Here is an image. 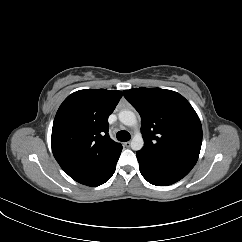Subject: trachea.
<instances>
[{
  "label": "trachea",
  "instance_id": "1",
  "mask_svg": "<svg viewBox=\"0 0 242 242\" xmlns=\"http://www.w3.org/2000/svg\"><path fill=\"white\" fill-rule=\"evenodd\" d=\"M116 137L119 141L121 142H126V141H129L131 136H130V133L127 132V131H119L117 134H116Z\"/></svg>",
  "mask_w": 242,
  "mask_h": 242
}]
</instances>
